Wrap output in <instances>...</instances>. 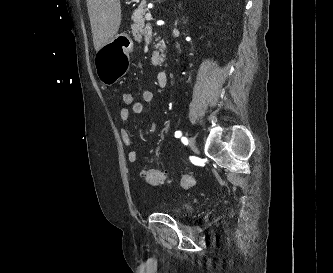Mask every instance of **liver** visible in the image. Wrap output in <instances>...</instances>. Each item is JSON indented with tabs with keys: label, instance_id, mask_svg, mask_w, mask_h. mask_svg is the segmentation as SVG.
Listing matches in <instances>:
<instances>
[{
	"label": "liver",
	"instance_id": "liver-1",
	"mask_svg": "<svg viewBox=\"0 0 333 273\" xmlns=\"http://www.w3.org/2000/svg\"><path fill=\"white\" fill-rule=\"evenodd\" d=\"M93 44L96 51L109 43L121 23L120 0H87Z\"/></svg>",
	"mask_w": 333,
	"mask_h": 273
}]
</instances>
